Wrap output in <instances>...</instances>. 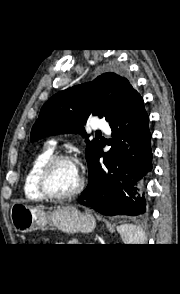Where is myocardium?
<instances>
[{
  "instance_id": "1",
  "label": "myocardium",
  "mask_w": 180,
  "mask_h": 294,
  "mask_svg": "<svg viewBox=\"0 0 180 294\" xmlns=\"http://www.w3.org/2000/svg\"><path fill=\"white\" fill-rule=\"evenodd\" d=\"M61 162H70L76 165V160L73 156L67 154H56L51 156L39 169L37 174V188L40 194L50 200H68L78 196L84 189L85 178L82 173L79 172V184L71 192L66 194H56L51 192L47 187V178L51 170Z\"/></svg>"
}]
</instances>
